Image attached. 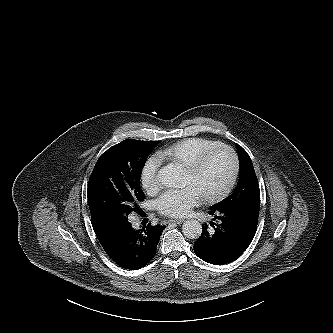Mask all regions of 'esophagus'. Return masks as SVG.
I'll return each instance as SVG.
<instances>
[{
	"instance_id": "1",
	"label": "esophagus",
	"mask_w": 333,
	"mask_h": 333,
	"mask_svg": "<svg viewBox=\"0 0 333 333\" xmlns=\"http://www.w3.org/2000/svg\"><path fill=\"white\" fill-rule=\"evenodd\" d=\"M168 222L169 223L181 224L182 222H184V219H170Z\"/></svg>"
}]
</instances>
